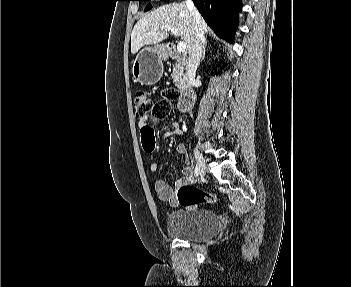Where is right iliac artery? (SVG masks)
<instances>
[{
    "label": "right iliac artery",
    "mask_w": 351,
    "mask_h": 287,
    "mask_svg": "<svg viewBox=\"0 0 351 287\" xmlns=\"http://www.w3.org/2000/svg\"><path fill=\"white\" fill-rule=\"evenodd\" d=\"M198 174H199V170H198L197 165H196V167L194 169V175L197 177Z\"/></svg>",
    "instance_id": "82829eb1"
}]
</instances>
